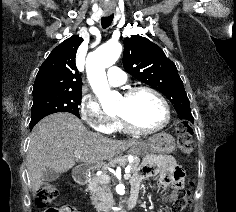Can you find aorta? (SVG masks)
<instances>
[{
  "mask_svg": "<svg viewBox=\"0 0 236 212\" xmlns=\"http://www.w3.org/2000/svg\"><path fill=\"white\" fill-rule=\"evenodd\" d=\"M122 46L119 42L110 41L88 55L86 72L88 81L101 102L106 107L115 102L119 95L110 90L105 68L112 66L120 57Z\"/></svg>",
  "mask_w": 236,
  "mask_h": 212,
  "instance_id": "762f6f07",
  "label": "aorta"
}]
</instances>
